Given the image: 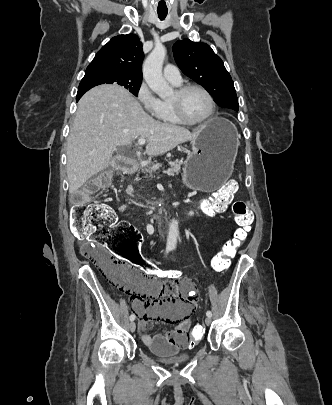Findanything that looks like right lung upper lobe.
<instances>
[{
    "mask_svg": "<svg viewBox=\"0 0 332 405\" xmlns=\"http://www.w3.org/2000/svg\"><path fill=\"white\" fill-rule=\"evenodd\" d=\"M142 44L135 34L113 37L95 55L85 73L108 70L142 79Z\"/></svg>",
    "mask_w": 332,
    "mask_h": 405,
    "instance_id": "obj_1",
    "label": "right lung upper lobe"
}]
</instances>
